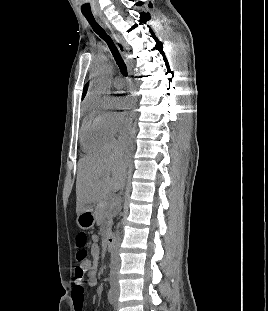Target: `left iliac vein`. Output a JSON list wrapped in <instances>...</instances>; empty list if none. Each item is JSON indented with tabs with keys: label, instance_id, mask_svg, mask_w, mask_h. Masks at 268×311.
Listing matches in <instances>:
<instances>
[{
	"label": "left iliac vein",
	"instance_id": "1",
	"mask_svg": "<svg viewBox=\"0 0 268 311\" xmlns=\"http://www.w3.org/2000/svg\"><path fill=\"white\" fill-rule=\"evenodd\" d=\"M117 298H118V290L115 291V303H114V307H115L116 310L118 309Z\"/></svg>",
	"mask_w": 268,
	"mask_h": 311
}]
</instances>
